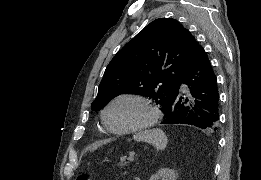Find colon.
<instances>
[{"mask_svg":"<svg viewBox=\"0 0 261 180\" xmlns=\"http://www.w3.org/2000/svg\"><path fill=\"white\" fill-rule=\"evenodd\" d=\"M90 176L87 173H79L76 177V180H89Z\"/></svg>","mask_w":261,"mask_h":180,"instance_id":"obj_1","label":"colon"}]
</instances>
